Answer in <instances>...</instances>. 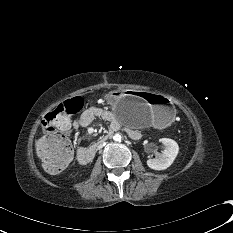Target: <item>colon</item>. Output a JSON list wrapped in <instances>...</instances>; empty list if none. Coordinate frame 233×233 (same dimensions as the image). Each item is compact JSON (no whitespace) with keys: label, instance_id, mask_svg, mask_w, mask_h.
Here are the masks:
<instances>
[{"label":"colon","instance_id":"1","mask_svg":"<svg viewBox=\"0 0 233 233\" xmlns=\"http://www.w3.org/2000/svg\"><path fill=\"white\" fill-rule=\"evenodd\" d=\"M84 106L81 97H73L48 113L42 123L46 132L36 143L37 153L44 168L50 173H59L65 169L72 158V145L61 135L53 134L56 130L67 129L69 119Z\"/></svg>","mask_w":233,"mask_h":233}]
</instances>
